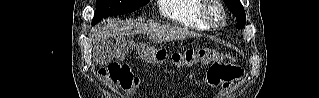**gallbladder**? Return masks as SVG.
<instances>
[{
    "instance_id": "bac80fb5",
    "label": "gallbladder",
    "mask_w": 319,
    "mask_h": 98,
    "mask_svg": "<svg viewBox=\"0 0 319 98\" xmlns=\"http://www.w3.org/2000/svg\"><path fill=\"white\" fill-rule=\"evenodd\" d=\"M113 48L109 43L100 44L94 50V57L99 64H106L113 58Z\"/></svg>"
}]
</instances>
